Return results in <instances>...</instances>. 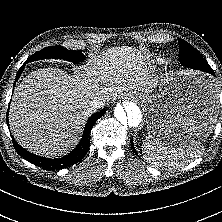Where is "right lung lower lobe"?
<instances>
[{"instance_id":"98d812e1","label":"right lung lower lobe","mask_w":222,"mask_h":222,"mask_svg":"<svg viewBox=\"0 0 222 222\" xmlns=\"http://www.w3.org/2000/svg\"><path fill=\"white\" fill-rule=\"evenodd\" d=\"M29 61H26L21 68L19 69V71L17 72L16 78H15V82H14V86L16 81L18 80V78L21 76L23 70H24V66L26 63H28ZM106 113L105 110H102L100 112H96L94 113L87 121L85 128H84V133L82 135V138L79 142V144L77 145V147L70 152L68 155L61 157V158H57V159H50V158H43L37 155H34L30 152H28L26 149H24L23 147H21L13 138V146L15 148V150L17 151V153L23 157L25 160L29 161L30 163L42 167L44 169L47 170H60L62 168H66L68 166H71L75 163L80 162L83 157L87 154L89 147H90V133L91 130L95 124V122L102 117L104 114ZM8 117V115H7ZM8 122V119H7Z\"/></svg>"}]
</instances>
